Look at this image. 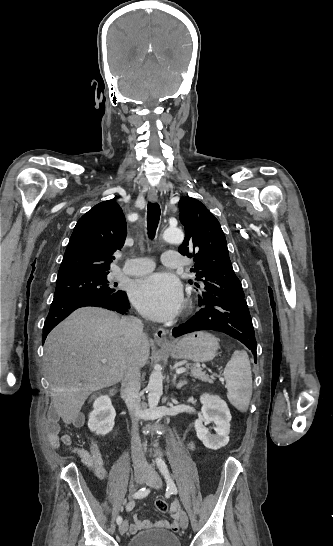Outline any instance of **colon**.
<instances>
[{
	"label": "colon",
	"instance_id": "obj_1",
	"mask_svg": "<svg viewBox=\"0 0 333 546\" xmlns=\"http://www.w3.org/2000/svg\"><path fill=\"white\" fill-rule=\"evenodd\" d=\"M155 506H156V509L160 512H167L169 507H168V504L165 500H162V499H158L156 502H155Z\"/></svg>",
	"mask_w": 333,
	"mask_h": 546
}]
</instances>
